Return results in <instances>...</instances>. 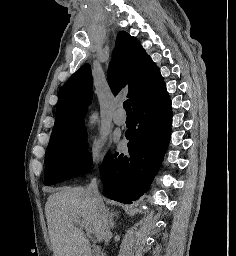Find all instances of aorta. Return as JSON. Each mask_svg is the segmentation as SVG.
Returning <instances> with one entry per match:
<instances>
[{
    "mask_svg": "<svg viewBox=\"0 0 236 256\" xmlns=\"http://www.w3.org/2000/svg\"><path fill=\"white\" fill-rule=\"evenodd\" d=\"M97 120V115L96 114H93L91 117H90V124H95Z\"/></svg>",
    "mask_w": 236,
    "mask_h": 256,
    "instance_id": "1",
    "label": "aorta"
}]
</instances>
